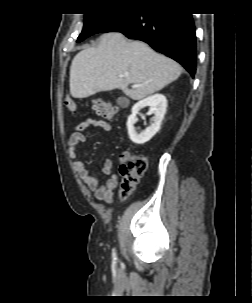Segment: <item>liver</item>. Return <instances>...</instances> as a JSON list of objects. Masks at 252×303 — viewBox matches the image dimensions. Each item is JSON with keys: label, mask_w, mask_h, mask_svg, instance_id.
Here are the masks:
<instances>
[{"label": "liver", "mask_w": 252, "mask_h": 303, "mask_svg": "<svg viewBox=\"0 0 252 303\" xmlns=\"http://www.w3.org/2000/svg\"><path fill=\"white\" fill-rule=\"evenodd\" d=\"M181 72L178 63L145 43L127 41L121 33H107L100 37L97 47H88L73 58L70 93L81 99L121 89L131 99L141 100L175 81ZM130 84L138 87L129 89Z\"/></svg>", "instance_id": "liver-1"}]
</instances>
